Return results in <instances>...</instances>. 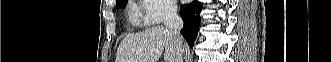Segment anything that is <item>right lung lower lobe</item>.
<instances>
[{"label": "right lung lower lobe", "instance_id": "obj_1", "mask_svg": "<svg viewBox=\"0 0 331 62\" xmlns=\"http://www.w3.org/2000/svg\"><path fill=\"white\" fill-rule=\"evenodd\" d=\"M201 10L202 4L198 0H193L192 3L187 5H181L180 15L184 20V26L183 29H181V34L191 48L193 47V43L198 34L201 21Z\"/></svg>", "mask_w": 331, "mask_h": 62}]
</instances>
